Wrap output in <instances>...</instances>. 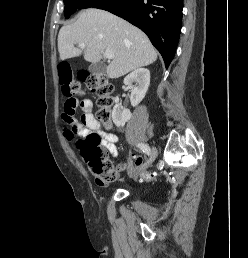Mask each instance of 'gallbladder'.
Segmentation results:
<instances>
[{"mask_svg": "<svg viewBox=\"0 0 248 258\" xmlns=\"http://www.w3.org/2000/svg\"><path fill=\"white\" fill-rule=\"evenodd\" d=\"M89 71L98 74V75H104L106 72V65L104 63H93L89 66Z\"/></svg>", "mask_w": 248, "mask_h": 258, "instance_id": "bac80fb5", "label": "gallbladder"}]
</instances>
